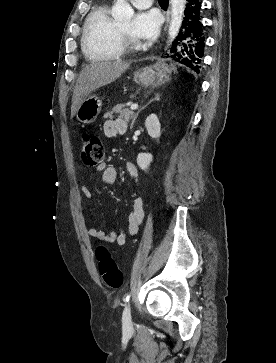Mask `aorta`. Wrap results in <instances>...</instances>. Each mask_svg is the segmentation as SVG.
Returning a JSON list of instances; mask_svg holds the SVG:
<instances>
[{"label": "aorta", "mask_w": 276, "mask_h": 363, "mask_svg": "<svg viewBox=\"0 0 276 363\" xmlns=\"http://www.w3.org/2000/svg\"><path fill=\"white\" fill-rule=\"evenodd\" d=\"M171 21L168 30V43L171 44L178 36L184 17L186 0H170ZM112 17L118 22H129L134 10L126 0H116L111 11Z\"/></svg>", "instance_id": "1"}]
</instances>
